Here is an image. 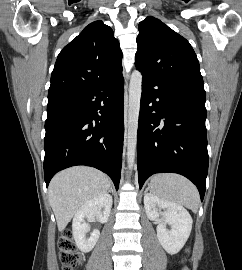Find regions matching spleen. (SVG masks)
Masks as SVG:
<instances>
[{
	"instance_id": "3e777b00",
	"label": "spleen",
	"mask_w": 242,
	"mask_h": 270,
	"mask_svg": "<svg viewBox=\"0 0 242 270\" xmlns=\"http://www.w3.org/2000/svg\"><path fill=\"white\" fill-rule=\"evenodd\" d=\"M149 188L159 198L184 205L193 212H197L200 196L193 183L181 175L163 173L154 175Z\"/></svg>"
}]
</instances>
